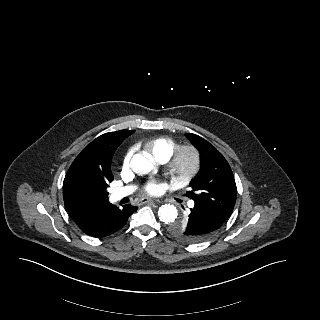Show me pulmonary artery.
Returning <instances> with one entry per match:
<instances>
[{"mask_svg": "<svg viewBox=\"0 0 320 320\" xmlns=\"http://www.w3.org/2000/svg\"><path fill=\"white\" fill-rule=\"evenodd\" d=\"M166 160H161L159 162H165ZM134 191L133 186H127V187H122L119 189H116L113 194H112V199L117 201L120 200L128 195H130ZM189 207H194V202H189Z\"/></svg>", "mask_w": 320, "mask_h": 320, "instance_id": "e3ab8cb5", "label": "pulmonary artery"}]
</instances>
